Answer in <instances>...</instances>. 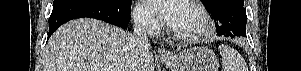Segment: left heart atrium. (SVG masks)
<instances>
[{"instance_id": "left-heart-atrium-1", "label": "left heart atrium", "mask_w": 301, "mask_h": 71, "mask_svg": "<svg viewBox=\"0 0 301 71\" xmlns=\"http://www.w3.org/2000/svg\"><path fill=\"white\" fill-rule=\"evenodd\" d=\"M148 8L157 13L170 27H173L181 9V0H146Z\"/></svg>"}]
</instances>
